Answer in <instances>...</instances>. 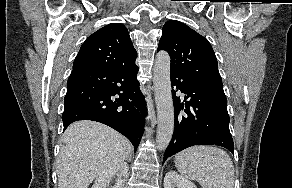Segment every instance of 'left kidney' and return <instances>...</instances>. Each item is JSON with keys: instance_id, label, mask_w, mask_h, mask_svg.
Returning <instances> with one entry per match:
<instances>
[{"instance_id": "1", "label": "left kidney", "mask_w": 292, "mask_h": 188, "mask_svg": "<svg viewBox=\"0 0 292 188\" xmlns=\"http://www.w3.org/2000/svg\"><path fill=\"white\" fill-rule=\"evenodd\" d=\"M164 188H197L196 185L175 171H169L164 177Z\"/></svg>"}]
</instances>
